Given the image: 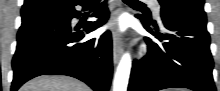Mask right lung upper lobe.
<instances>
[{
    "label": "right lung upper lobe",
    "mask_w": 220,
    "mask_h": 91,
    "mask_svg": "<svg viewBox=\"0 0 220 91\" xmlns=\"http://www.w3.org/2000/svg\"><path fill=\"white\" fill-rule=\"evenodd\" d=\"M61 1L65 0H25L21 9V14H26L44 8H53L64 3Z\"/></svg>",
    "instance_id": "obj_1"
}]
</instances>
